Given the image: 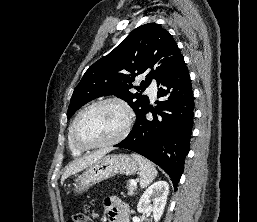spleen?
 <instances>
[{"label":"spleen","instance_id":"spleen-1","mask_svg":"<svg viewBox=\"0 0 257 222\" xmlns=\"http://www.w3.org/2000/svg\"><path fill=\"white\" fill-rule=\"evenodd\" d=\"M140 165V186L147 187L157 176V170L154 165L144 157L133 153L131 155Z\"/></svg>","mask_w":257,"mask_h":222}]
</instances>
